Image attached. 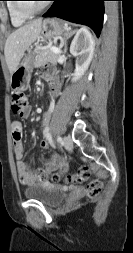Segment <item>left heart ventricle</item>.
<instances>
[{"instance_id":"left-heart-ventricle-1","label":"left heart ventricle","mask_w":133,"mask_h":253,"mask_svg":"<svg viewBox=\"0 0 133 253\" xmlns=\"http://www.w3.org/2000/svg\"><path fill=\"white\" fill-rule=\"evenodd\" d=\"M43 4V2L41 1H35V2H28V3H25V5L31 9H35L39 6H41Z\"/></svg>"}]
</instances>
